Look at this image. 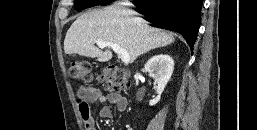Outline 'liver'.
I'll use <instances>...</instances> for the list:
<instances>
[{
    "instance_id": "1",
    "label": "liver",
    "mask_w": 257,
    "mask_h": 130,
    "mask_svg": "<svg viewBox=\"0 0 257 130\" xmlns=\"http://www.w3.org/2000/svg\"><path fill=\"white\" fill-rule=\"evenodd\" d=\"M131 10L108 7L92 10L78 17L68 29L64 40L65 54H79L100 62L112 59L109 49L100 50L97 41L119 45L130 55L131 62L159 47L170 45L174 37L163 30L150 27Z\"/></svg>"
}]
</instances>
